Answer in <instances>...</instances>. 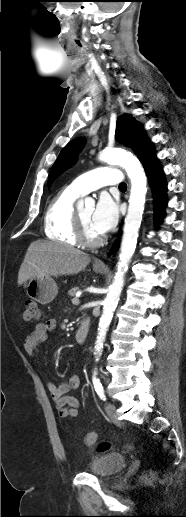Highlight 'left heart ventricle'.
<instances>
[{"mask_svg":"<svg viewBox=\"0 0 186 517\" xmlns=\"http://www.w3.org/2000/svg\"><path fill=\"white\" fill-rule=\"evenodd\" d=\"M79 214L81 216V219L85 225V228H86L88 234L91 236H94V237L100 236V234L98 232H96L91 225V217L93 214V208H85V209L79 211Z\"/></svg>","mask_w":186,"mask_h":517,"instance_id":"1","label":"left heart ventricle"}]
</instances>
